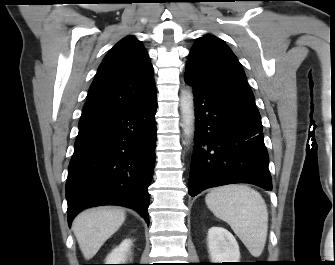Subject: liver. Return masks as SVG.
Masks as SVG:
<instances>
[{
  "label": "liver",
  "instance_id": "6515ba94",
  "mask_svg": "<svg viewBox=\"0 0 335 265\" xmlns=\"http://www.w3.org/2000/svg\"><path fill=\"white\" fill-rule=\"evenodd\" d=\"M125 218L123 209L102 206L85 210L74 219L72 230L86 260L95 256L104 242L121 227Z\"/></svg>",
  "mask_w": 335,
  "mask_h": 265
}]
</instances>
